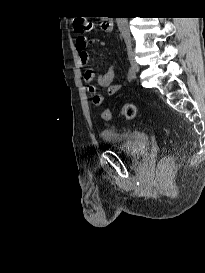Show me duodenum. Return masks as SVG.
I'll return each mask as SVG.
<instances>
[{"instance_id":"1","label":"duodenum","mask_w":205,"mask_h":273,"mask_svg":"<svg viewBox=\"0 0 205 273\" xmlns=\"http://www.w3.org/2000/svg\"><path fill=\"white\" fill-rule=\"evenodd\" d=\"M112 28H113V20L111 18H109L103 23V29L106 32H109L112 30Z\"/></svg>"}]
</instances>
